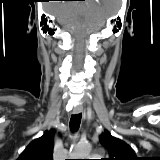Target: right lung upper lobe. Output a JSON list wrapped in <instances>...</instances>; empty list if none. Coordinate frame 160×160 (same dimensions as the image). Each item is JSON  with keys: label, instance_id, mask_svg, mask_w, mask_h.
<instances>
[{"label": "right lung upper lobe", "instance_id": "cb5924a9", "mask_svg": "<svg viewBox=\"0 0 160 160\" xmlns=\"http://www.w3.org/2000/svg\"><path fill=\"white\" fill-rule=\"evenodd\" d=\"M54 133V130L46 131L33 140L17 160H53Z\"/></svg>", "mask_w": 160, "mask_h": 160}]
</instances>
